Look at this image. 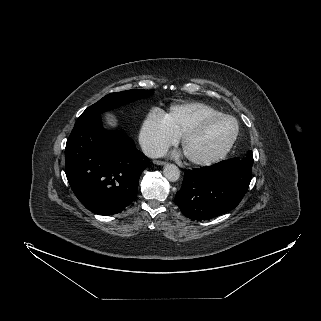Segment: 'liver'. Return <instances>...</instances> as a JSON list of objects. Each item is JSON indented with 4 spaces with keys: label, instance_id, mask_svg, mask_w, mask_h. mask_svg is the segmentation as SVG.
<instances>
[{
    "label": "liver",
    "instance_id": "6515ba94",
    "mask_svg": "<svg viewBox=\"0 0 321 321\" xmlns=\"http://www.w3.org/2000/svg\"><path fill=\"white\" fill-rule=\"evenodd\" d=\"M108 118L110 122H114V118L112 116L108 115Z\"/></svg>",
    "mask_w": 321,
    "mask_h": 321
}]
</instances>
